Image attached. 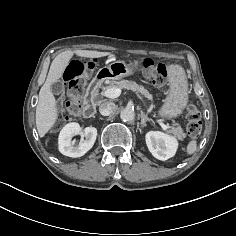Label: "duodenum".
Returning <instances> with one entry per match:
<instances>
[{
  "instance_id": "duodenum-1",
  "label": "duodenum",
  "mask_w": 236,
  "mask_h": 236,
  "mask_svg": "<svg viewBox=\"0 0 236 236\" xmlns=\"http://www.w3.org/2000/svg\"><path fill=\"white\" fill-rule=\"evenodd\" d=\"M104 79H105L104 75H98L88 85L83 104V116L86 119H92L95 117L96 114L95 96L97 94L99 86L104 81Z\"/></svg>"
}]
</instances>
